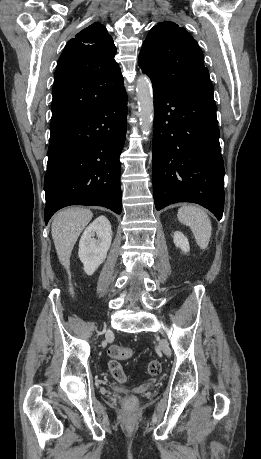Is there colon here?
Returning <instances> with one entry per match:
<instances>
[{
  "label": "colon",
  "mask_w": 261,
  "mask_h": 459,
  "mask_svg": "<svg viewBox=\"0 0 261 459\" xmlns=\"http://www.w3.org/2000/svg\"><path fill=\"white\" fill-rule=\"evenodd\" d=\"M108 356L110 360L108 361V368L112 376L120 383L126 381V374L119 362V360H126L131 358L133 351L130 348H124L118 345H112L108 348ZM162 369L160 361L154 359L148 363V373L150 375L160 374ZM136 403V398L131 396L126 400L128 406H133Z\"/></svg>",
  "instance_id": "obj_1"
}]
</instances>
